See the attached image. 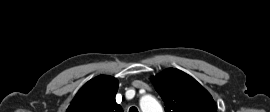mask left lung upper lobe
I'll return each instance as SVG.
<instances>
[{"label": "left lung upper lobe", "instance_id": "5c2ea615", "mask_svg": "<svg viewBox=\"0 0 270 112\" xmlns=\"http://www.w3.org/2000/svg\"><path fill=\"white\" fill-rule=\"evenodd\" d=\"M152 82L164 101L165 112H217L209 92L178 69L168 68Z\"/></svg>", "mask_w": 270, "mask_h": 112}]
</instances>
